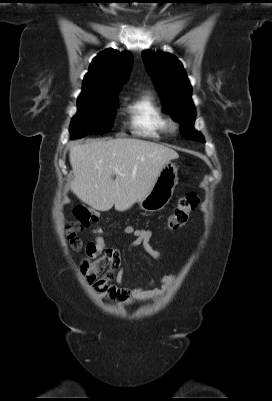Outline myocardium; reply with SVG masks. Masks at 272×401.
Returning a JSON list of instances; mask_svg holds the SVG:
<instances>
[{
    "instance_id": "1",
    "label": "myocardium",
    "mask_w": 272,
    "mask_h": 401,
    "mask_svg": "<svg viewBox=\"0 0 272 401\" xmlns=\"http://www.w3.org/2000/svg\"><path fill=\"white\" fill-rule=\"evenodd\" d=\"M171 129H176V124L174 122L169 123Z\"/></svg>"
}]
</instances>
